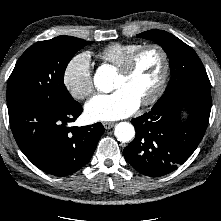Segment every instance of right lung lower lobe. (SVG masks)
<instances>
[{
    "label": "right lung lower lobe",
    "instance_id": "right-lung-lower-lobe-1",
    "mask_svg": "<svg viewBox=\"0 0 221 221\" xmlns=\"http://www.w3.org/2000/svg\"><path fill=\"white\" fill-rule=\"evenodd\" d=\"M14 138L24 155L39 169L67 176L85 166L104 133L101 123L68 127L82 113L75 100L47 105L32 99L8 106Z\"/></svg>",
    "mask_w": 221,
    "mask_h": 221
}]
</instances>
